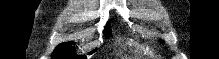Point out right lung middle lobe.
Masks as SVG:
<instances>
[{"instance_id": "right-lung-middle-lobe-1", "label": "right lung middle lobe", "mask_w": 219, "mask_h": 59, "mask_svg": "<svg viewBox=\"0 0 219 59\" xmlns=\"http://www.w3.org/2000/svg\"><path fill=\"white\" fill-rule=\"evenodd\" d=\"M110 33L111 29L110 26H108L104 30V34L108 38L110 36ZM71 45H73V43L59 44L53 52V59H86L85 55L77 56L74 53L75 48ZM94 52H96V50H93L92 52H90V54Z\"/></svg>"}]
</instances>
